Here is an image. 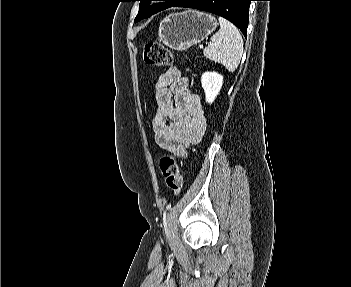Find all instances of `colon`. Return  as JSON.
Wrapping results in <instances>:
<instances>
[{
	"mask_svg": "<svg viewBox=\"0 0 351 287\" xmlns=\"http://www.w3.org/2000/svg\"><path fill=\"white\" fill-rule=\"evenodd\" d=\"M143 60L150 66H168L172 63L173 57L166 46L153 42L145 45ZM159 165L168 189L173 195H178L183 186L178 161L171 155H165L160 159Z\"/></svg>",
	"mask_w": 351,
	"mask_h": 287,
	"instance_id": "5ec220e1",
	"label": "colon"
}]
</instances>
